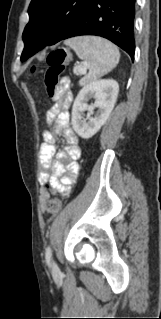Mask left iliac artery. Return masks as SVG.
<instances>
[{
	"instance_id": "left-iliac-artery-1",
	"label": "left iliac artery",
	"mask_w": 161,
	"mask_h": 319,
	"mask_svg": "<svg viewBox=\"0 0 161 319\" xmlns=\"http://www.w3.org/2000/svg\"><path fill=\"white\" fill-rule=\"evenodd\" d=\"M45 258H46L47 264L50 265V260H51V248H50V246H48L47 249H46Z\"/></svg>"
}]
</instances>
